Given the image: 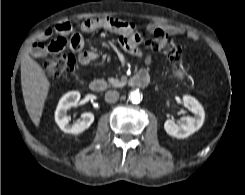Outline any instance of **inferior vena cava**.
Here are the masks:
<instances>
[{"mask_svg":"<svg viewBox=\"0 0 245 195\" xmlns=\"http://www.w3.org/2000/svg\"><path fill=\"white\" fill-rule=\"evenodd\" d=\"M119 99L118 91H107L105 93V101L108 103H115Z\"/></svg>","mask_w":245,"mask_h":195,"instance_id":"obj_1","label":"inferior vena cava"}]
</instances>
